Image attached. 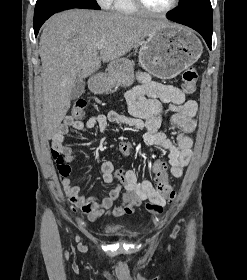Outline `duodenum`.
<instances>
[{
	"mask_svg": "<svg viewBox=\"0 0 247 280\" xmlns=\"http://www.w3.org/2000/svg\"><path fill=\"white\" fill-rule=\"evenodd\" d=\"M98 84H99V82L96 81V82L94 83V87L97 88V87H98Z\"/></svg>",
	"mask_w": 247,
	"mask_h": 280,
	"instance_id": "obj_1",
	"label": "duodenum"
}]
</instances>
